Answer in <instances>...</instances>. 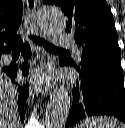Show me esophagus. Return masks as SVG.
<instances>
[{"label": "esophagus", "instance_id": "1", "mask_svg": "<svg viewBox=\"0 0 125 128\" xmlns=\"http://www.w3.org/2000/svg\"><path fill=\"white\" fill-rule=\"evenodd\" d=\"M26 8H27V14L29 18L31 19V25L35 32V34L42 36V33L36 23L35 13H36V0H26ZM35 49L39 53L41 60L40 63H43L45 60L46 52L40 47L35 46ZM50 84L47 85H39L35 83V88L37 93H40L43 96H46L48 92L50 91Z\"/></svg>", "mask_w": 125, "mask_h": 128}]
</instances>
